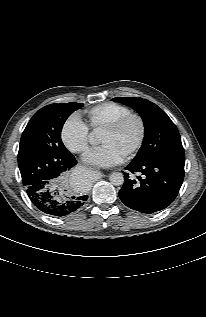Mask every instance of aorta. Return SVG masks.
Segmentation results:
<instances>
[{"mask_svg":"<svg viewBox=\"0 0 206 317\" xmlns=\"http://www.w3.org/2000/svg\"><path fill=\"white\" fill-rule=\"evenodd\" d=\"M90 138V142H92V136H89ZM109 180L111 182V184L115 185V186H120L124 183V176L122 173L120 172H113L110 177Z\"/></svg>","mask_w":206,"mask_h":317,"instance_id":"obj_1","label":"aorta"}]
</instances>
